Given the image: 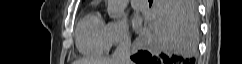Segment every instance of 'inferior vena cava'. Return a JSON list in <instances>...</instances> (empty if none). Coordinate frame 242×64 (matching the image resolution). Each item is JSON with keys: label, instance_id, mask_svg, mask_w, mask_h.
Segmentation results:
<instances>
[{"label": "inferior vena cava", "instance_id": "1", "mask_svg": "<svg viewBox=\"0 0 242 64\" xmlns=\"http://www.w3.org/2000/svg\"><path fill=\"white\" fill-rule=\"evenodd\" d=\"M130 47V38L128 35H124L112 55V59L115 61V64H131Z\"/></svg>", "mask_w": 242, "mask_h": 64}]
</instances>
